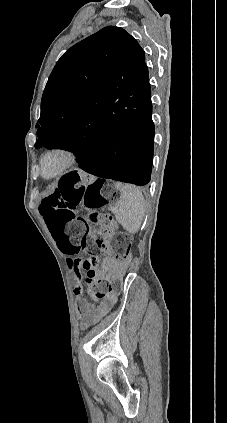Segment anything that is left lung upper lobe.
<instances>
[{
    "label": "left lung upper lobe",
    "mask_w": 227,
    "mask_h": 423,
    "mask_svg": "<svg viewBox=\"0 0 227 423\" xmlns=\"http://www.w3.org/2000/svg\"><path fill=\"white\" fill-rule=\"evenodd\" d=\"M150 95L144 51L124 29L105 27L56 63L42 95L35 148L84 136L108 112H143Z\"/></svg>",
    "instance_id": "obj_1"
}]
</instances>
